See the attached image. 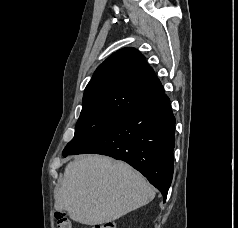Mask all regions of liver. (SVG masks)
Listing matches in <instances>:
<instances>
[{
	"mask_svg": "<svg viewBox=\"0 0 238 228\" xmlns=\"http://www.w3.org/2000/svg\"><path fill=\"white\" fill-rule=\"evenodd\" d=\"M55 194V209L85 225L114 221L152 201L155 190L132 167L101 155L70 162Z\"/></svg>",
	"mask_w": 238,
	"mask_h": 228,
	"instance_id": "obj_1",
	"label": "liver"
}]
</instances>
